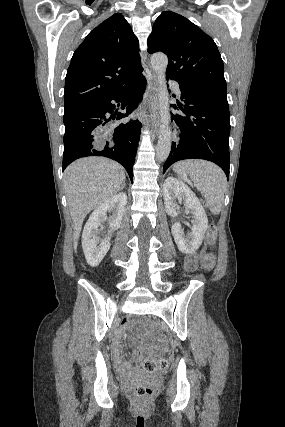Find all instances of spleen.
Returning <instances> with one entry per match:
<instances>
[{
	"mask_svg": "<svg viewBox=\"0 0 285 427\" xmlns=\"http://www.w3.org/2000/svg\"><path fill=\"white\" fill-rule=\"evenodd\" d=\"M173 171L186 173L201 192L213 214H219L224 202L227 179L217 165L204 160H185L174 164Z\"/></svg>",
	"mask_w": 285,
	"mask_h": 427,
	"instance_id": "obj_1",
	"label": "spleen"
}]
</instances>
